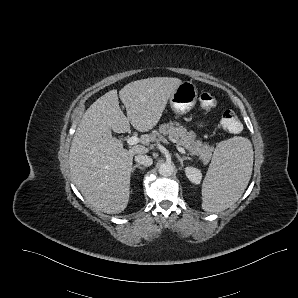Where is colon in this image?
Here are the masks:
<instances>
[{
    "mask_svg": "<svg viewBox=\"0 0 298 298\" xmlns=\"http://www.w3.org/2000/svg\"><path fill=\"white\" fill-rule=\"evenodd\" d=\"M200 106L203 110H211L215 104L216 100L210 93H202L199 96ZM221 127L229 133H239L242 130L241 122L239 121L236 113L232 110H226L223 112L220 119Z\"/></svg>",
    "mask_w": 298,
    "mask_h": 298,
    "instance_id": "obj_1",
    "label": "colon"
}]
</instances>
